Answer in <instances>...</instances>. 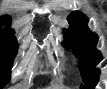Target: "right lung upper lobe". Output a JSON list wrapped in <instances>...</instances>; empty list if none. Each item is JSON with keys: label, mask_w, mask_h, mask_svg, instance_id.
I'll list each match as a JSON object with an SVG mask.
<instances>
[{"label": "right lung upper lobe", "mask_w": 107, "mask_h": 89, "mask_svg": "<svg viewBox=\"0 0 107 89\" xmlns=\"http://www.w3.org/2000/svg\"><path fill=\"white\" fill-rule=\"evenodd\" d=\"M11 22V19L9 16H3L0 18V24L1 25H9Z\"/></svg>", "instance_id": "cb5924a9"}]
</instances>
